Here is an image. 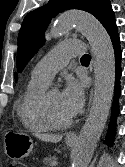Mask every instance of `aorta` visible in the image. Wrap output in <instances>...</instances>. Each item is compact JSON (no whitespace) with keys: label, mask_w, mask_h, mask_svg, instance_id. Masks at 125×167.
Listing matches in <instances>:
<instances>
[{"label":"aorta","mask_w":125,"mask_h":167,"mask_svg":"<svg viewBox=\"0 0 125 167\" xmlns=\"http://www.w3.org/2000/svg\"><path fill=\"white\" fill-rule=\"evenodd\" d=\"M76 27L88 40L94 56L95 90L89 116L72 154L73 167H88L107 121L115 84V55L111 39L90 14L74 11L58 17L49 36L57 38Z\"/></svg>","instance_id":"762f6f07"}]
</instances>
